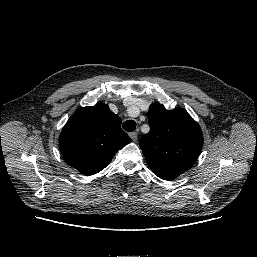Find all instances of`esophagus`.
I'll list each match as a JSON object with an SVG mask.
<instances>
[{"label": "esophagus", "mask_w": 257, "mask_h": 257, "mask_svg": "<svg viewBox=\"0 0 257 257\" xmlns=\"http://www.w3.org/2000/svg\"><path fill=\"white\" fill-rule=\"evenodd\" d=\"M129 136L133 141H136L138 138V134L136 132L129 133Z\"/></svg>", "instance_id": "esophagus-1"}]
</instances>
